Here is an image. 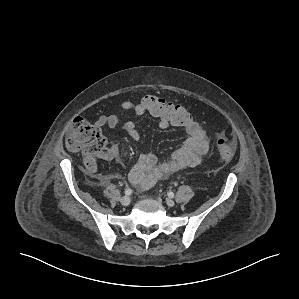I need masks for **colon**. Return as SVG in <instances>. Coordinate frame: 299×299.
Here are the masks:
<instances>
[{"mask_svg": "<svg viewBox=\"0 0 299 299\" xmlns=\"http://www.w3.org/2000/svg\"><path fill=\"white\" fill-rule=\"evenodd\" d=\"M140 102L146 113L158 120L166 121L171 126L185 127L194 120L185 107L169 102L158 95L147 94ZM66 146L70 151L81 152L84 155V165L88 169H93L96 156L105 147V139L97 126L84 118L77 117L68 130ZM216 153L220 161L229 162L235 155L234 144L227 138H219L216 141Z\"/></svg>", "mask_w": 299, "mask_h": 299, "instance_id": "1", "label": "colon"}]
</instances>
